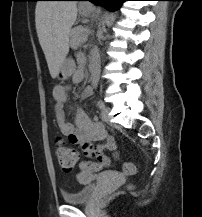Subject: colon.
<instances>
[{"label": "colon", "mask_w": 202, "mask_h": 217, "mask_svg": "<svg viewBox=\"0 0 202 217\" xmlns=\"http://www.w3.org/2000/svg\"><path fill=\"white\" fill-rule=\"evenodd\" d=\"M56 158L57 161L64 171H71L79 159L78 151L74 148L69 147H60L56 150ZM104 164L102 162L94 163V162H83L81 167L87 171H100L104 168ZM123 172L127 175H132L137 173V165L134 162H126L123 164Z\"/></svg>", "instance_id": "5ec220e1"}]
</instances>
